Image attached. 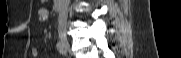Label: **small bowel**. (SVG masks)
Returning a JSON list of instances; mask_svg holds the SVG:
<instances>
[{"label": "small bowel", "instance_id": "small-bowel-1", "mask_svg": "<svg viewBox=\"0 0 181 58\" xmlns=\"http://www.w3.org/2000/svg\"><path fill=\"white\" fill-rule=\"evenodd\" d=\"M38 16H39L40 21L46 20L48 17V10L46 8H41L38 11ZM31 54H32V57L36 58L38 56V50L36 48H33L31 50Z\"/></svg>", "mask_w": 181, "mask_h": 58}]
</instances>
